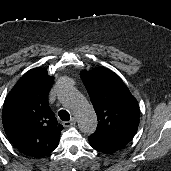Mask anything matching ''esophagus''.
I'll use <instances>...</instances> for the list:
<instances>
[{"instance_id":"34e87169","label":"esophagus","mask_w":171,"mask_h":171,"mask_svg":"<svg viewBox=\"0 0 171 171\" xmlns=\"http://www.w3.org/2000/svg\"><path fill=\"white\" fill-rule=\"evenodd\" d=\"M76 123V118L72 117L70 121H66L63 123V126L70 127L73 126Z\"/></svg>"}]
</instances>
